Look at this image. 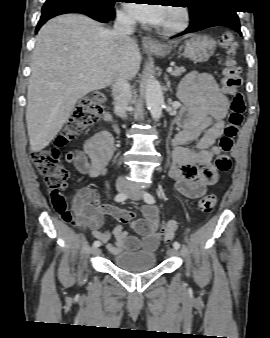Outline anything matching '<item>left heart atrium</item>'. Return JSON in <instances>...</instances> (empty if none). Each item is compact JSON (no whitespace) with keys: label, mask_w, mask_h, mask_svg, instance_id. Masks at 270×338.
<instances>
[{"label":"left heart atrium","mask_w":270,"mask_h":338,"mask_svg":"<svg viewBox=\"0 0 270 338\" xmlns=\"http://www.w3.org/2000/svg\"><path fill=\"white\" fill-rule=\"evenodd\" d=\"M149 1L157 2L153 0ZM130 2H136L126 3L127 9L135 18L145 23L159 24L164 15L163 7L161 5L138 4L137 0H130Z\"/></svg>","instance_id":"39dd6f15"}]
</instances>
